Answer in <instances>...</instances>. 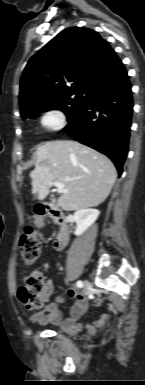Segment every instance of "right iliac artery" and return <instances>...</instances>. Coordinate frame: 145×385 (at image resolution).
Returning a JSON list of instances; mask_svg holds the SVG:
<instances>
[{"instance_id":"1","label":"right iliac artery","mask_w":145,"mask_h":385,"mask_svg":"<svg viewBox=\"0 0 145 385\" xmlns=\"http://www.w3.org/2000/svg\"><path fill=\"white\" fill-rule=\"evenodd\" d=\"M76 285H77L78 288H82L83 287V282L82 281H77Z\"/></svg>"}]
</instances>
